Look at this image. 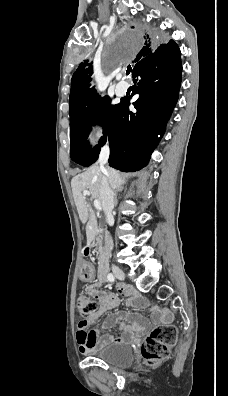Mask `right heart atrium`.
Segmentation results:
<instances>
[{
    "instance_id": "d8ad5b80",
    "label": "right heart atrium",
    "mask_w": 228,
    "mask_h": 396,
    "mask_svg": "<svg viewBox=\"0 0 228 396\" xmlns=\"http://www.w3.org/2000/svg\"><path fill=\"white\" fill-rule=\"evenodd\" d=\"M105 137V130L97 119H92L86 126L85 140L89 145H95Z\"/></svg>"
}]
</instances>
